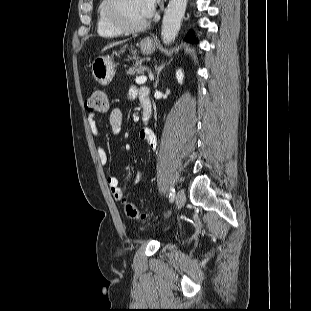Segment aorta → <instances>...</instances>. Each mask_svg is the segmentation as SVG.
Masks as SVG:
<instances>
[{
	"mask_svg": "<svg viewBox=\"0 0 311 311\" xmlns=\"http://www.w3.org/2000/svg\"><path fill=\"white\" fill-rule=\"evenodd\" d=\"M188 0H170L162 20L161 37L165 44L173 42L178 35Z\"/></svg>",
	"mask_w": 311,
	"mask_h": 311,
	"instance_id": "1",
	"label": "aorta"
}]
</instances>
